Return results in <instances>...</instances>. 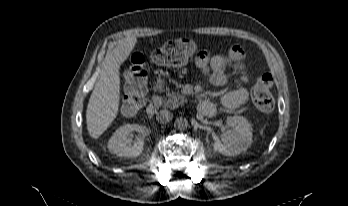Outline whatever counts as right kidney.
Here are the masks:
<instances>
[{
  "instance_id": "1",
  "label": "right kidney",
  "mask_w": 348,
  "mask_h": 206,
  "mask_svg": "<svg viewBox=\"0 0 348 206\" xmlns=\"http://www.w3.org/2000/svg\"><path fill=\"white\" fill-rule=\"evenodd\" d=\"M134 131L141 135L132 145L131 136ZM148 135L145 126L138 124H126L118 128L108 141V149L111 153L120 157H137L144 149V138Z\"/></svg>"
}]
</instances>
